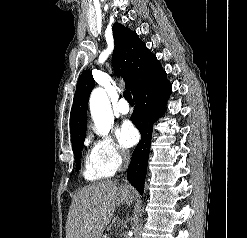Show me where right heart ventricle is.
I'll return each instance as SVG.
<instances>
[{"label":"right heart ventricle","mask_w":247,"mask_h":238,"mask_svg":"<svg viewBox=\"0 0 247 238\" xmlns=\"http://www.w3.org/2000/svg\"><path fill=\"white\" fill-rule=\"evenodd\" d=\"M113 171L102 161L94 148L88 150L84 156L83 176L89 182L109 178Z\"/></svg>","instance_id":"obj_1"}]
</instances>
